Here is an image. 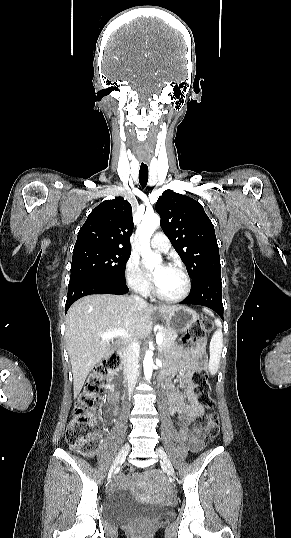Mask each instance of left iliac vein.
<instances>
[{
    "mask_svg": "<svg viewBox=\"0 0 291 538\" xmlns=\"http://www.w3.org/2000/svg\"><path fill=\"white\" fill-rule=\"evenodd\" d=\"M156 452L159 456V458L163 461V463L166 465L168 471L170 474L174 475V469H173V466L171 464V461L169 459V457L167 456V454L165 453V451L163 450V448H157L156 449Z\"/></svg>",
    "mask_w": 291,
    "mask_h": 538,
    "instance_id": "1",
    "label": "left iliac vein"
}]
</instances>
